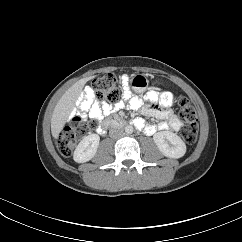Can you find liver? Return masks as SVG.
I'll return each mask as SVG.
<instances>
[{
  "mask_svg": "<svg viewBox=\"0 0 242 242\" xmlns=\"http://www.w3.org/2000/svg\"><path fill=\"white\" fill-rule=\"evenodd\" d=\"M94 77L83 78L76 82L65 94L61 97L57 103L52 119H51V132L54 138H58L60 132L65 126L70 113L75 107V102L84 87L85 83Z\"/></svg>",
  "mask_w": 242,
  "mask_h": 242,
  "instance_id": "liver-1",
  "label": "liver"
}]
</instances>
